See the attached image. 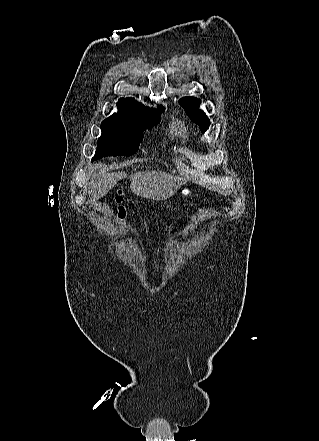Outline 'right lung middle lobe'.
<instances>
[{"instance_id": "obj_1", "label": "right lung middle lobe", "mask_w": 319, "mask_h": 441, "mask_svg": "<svg viewBox=\"0 0 319 441\" xmlns=\"http://www.w3.org/2000/svg\"><path fill=\"white\" fill-rule=\"evenodd\" d=\"M163 111V107L158 110L119 111L102 121V135L92 161L106 156L134 154L143 139V131L157 125Z\"/></svg>"}]
</instances>
